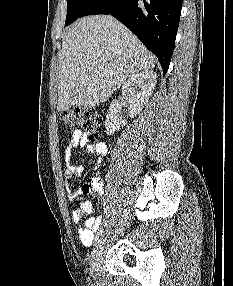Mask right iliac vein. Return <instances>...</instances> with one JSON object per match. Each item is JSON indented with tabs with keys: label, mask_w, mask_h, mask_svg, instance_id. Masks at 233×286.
<instances>
[{
	"label": "right iliac vein",
	"mask_w": 233,
	"mask_h": 286,
	"mask_svg": "<svg viewBox=\"0 0 233 286\" xmlns=\"http://www.w3.org/2000/svg\"><path fill=\"white\" fill-rule=\"evenodd\" d=\"M103 253V240H98L95 245L91 255V269L90 273L93 278L96 277L97 271L99 269Z\"/></svg>",
	"instance_id": "obj_1"
}]
</instances>
